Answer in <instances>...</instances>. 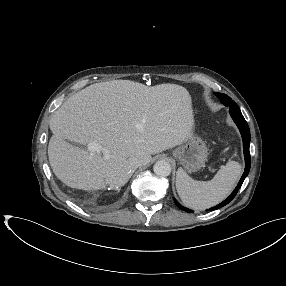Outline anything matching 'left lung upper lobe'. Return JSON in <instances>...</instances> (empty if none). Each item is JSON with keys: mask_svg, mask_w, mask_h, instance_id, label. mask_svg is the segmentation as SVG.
<instances>
[{"mask_svg": "<svg viewBox=\"0 0 286 286\" xmlns=\"http://www.w3.org/2000/svg\"><path fill=\"white\" fill-rule=\"evenodd\" d=\"M217 97L221 100V103L224 104L226 107H229L230 110L240 111V108L237 104L227 95L223 93H215Z\"/></svg>", "mask_w": 286, "mask_h": 286, "instance_id": "obj_1", "label": "left lung upper lobe"}]
</instances>
